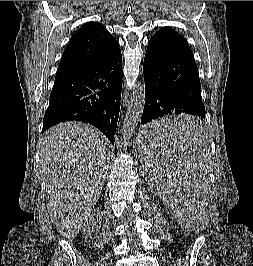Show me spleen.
I'll return each mask as SVG.
<instances>
[{
    "instance_id": "3e777b00",
    "label": "spleen",
    "mask_w": 253,
    "mask_h": 266,
    "mask_svg": "<svg viewBox=\"0 0 253 266\" xmlns=\"http://www.w3.org/2000/svg\"><path fill=\"white\" fill-rule=\"evenodd\" d=\"M146 138L139 139L141 169L149 187H161L156 198L176 213L180 229L188 235H205L204 202L208 199L210 148L203 141L205 123L199 115L164 113L155 123H142Z\"/></svg>"
}]
</instances>
